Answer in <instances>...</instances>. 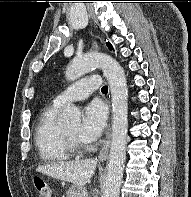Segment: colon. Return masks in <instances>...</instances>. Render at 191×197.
<instances>
[{
	"label": "colon",
	"instance_id": "colon-1",
	"mask_svg": "<svg viewBox=\"0 0 191 197\" xmlns=\"http://www.w3.org/2000/svg\"><path fill=\"white\" fill-rule=\"evenodd\" d=\"M34 183L39 197H51V188L43 179L37 177Z\"/></svg>",
	"mask_w": 191,
	"mask_h": 197
}]
</instances>
